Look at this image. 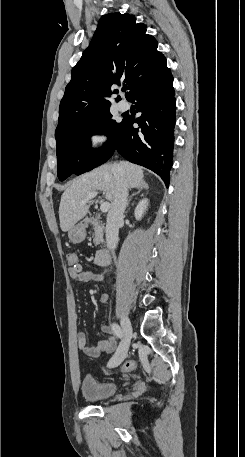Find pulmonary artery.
<instances>
[{"instance_id":"pulmonary-artery-1","label":"pulmonary artery","mask_w":245,"mask_h":457,"mask_svg":"<svg viewBox=\"0 0 245 457\" xmlns=\"http://www.w3.org/2000/svg\"><path fill=\"white\" fill-rule=\"evenodd\" d=\"M117 108L119 109V111L125 112L129 110L130 104L126 100H121L120 102H118Z\"/></svg>"}]
</instances>
